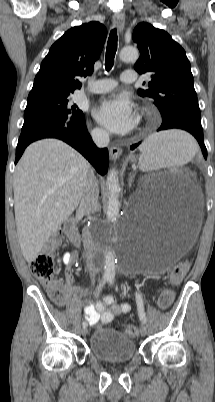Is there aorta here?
I'll list each match as a JSON object with an SVG mask.
<instances>
[{
    "label": "aorta",
    "mask_w": 215,
    "mask_h": 402,
    "mask_svg": "<svg viewBox=\"0 0 215 402\" xmlns=\"http://www.w3.org/2000/svg\"><path fill=\"white\" fill-rule=\"evenodd\" d=\"M120 59L123 62H135L139 58V51L135 47H124L120 51ZM108 202L106 215L109 220H115L119 216V192L120 185L117 170L112 169L107 176ZM98 256L104 263V277L114 278L115 265L117 262V251L113 246V239L110 234L104 232V237L98 248Z\"/></svg>",
    "instance_id": "762f6f07"
}]
</instances>
